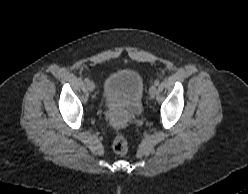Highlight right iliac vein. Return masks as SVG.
Segmentation results:
<instances>
[{"label": "right iliac vein", "mask_w": 248, "mask_h": 194, "mask_svg": "<svg viewBox=\"0 0 248 194\" xmlns=\"http://www.w3.org/2000/svg\"><path fill=\"white\" fill-rule=\"evenodd\" d=\"M87 88H88V90H89L90 92H92V91H94V89H95V84H94L92 81H89V82L87 83Z\"/></svg>", "instance_id": "1"}]
</instances>
